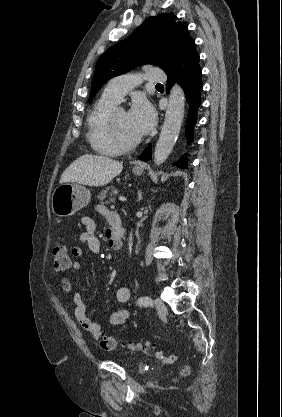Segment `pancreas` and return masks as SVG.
<instances>
[{
	"mask_svg": "<svg viewBox=\"0 0 282 417\" xmlns=\"http://www.w3.org/2000/svg\"><path fill=\"white\" fill-rule=\"evenodd\" d=\"M118 190L116 186H106L105 190H101V194H99L98 198L104 202V204H108V202H113L115 194H117ZM107 194H111L109 200H106Z\"/></svg>",
	"mask_w": 282,
	"mask_h": 417,
	"instance_id": "1",
	"label": "pancreas"
}]
</instances>
